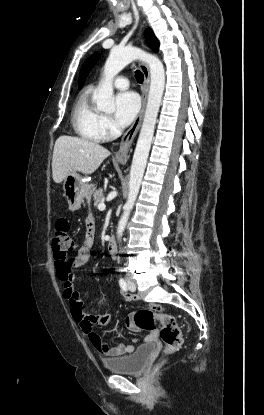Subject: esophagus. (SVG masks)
I'll list each match as a JSON object with an SVG mask.
<instances>
[{
  "mask_svg": "<svg viewBox=\"0 0 264 415\" xmlns=\"http://www.w3.org/2000/svg\"><path fill=\"white\" fill-rule=\"evenodd\" d=\"M140 70L143 73L144 76V83L142 86V104L141 109L138 113V115L135 117L132 125L130 128L126 131V133L123 135L121 139V144L119 150L116 152L114 156V160L126 164L129 158V153L131 151V147L133 144V141L138 133V130L141 126V122L144 116L145 108H146V102H147V95L149 90V84H150V74L148 66L141 62L139 64Z\"/></svg>",
  "mask_w": 264,
  "mask_h": 415,
  "instance_id": "34e87169",
  "label": "esophagus"
}]
</instances>
